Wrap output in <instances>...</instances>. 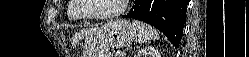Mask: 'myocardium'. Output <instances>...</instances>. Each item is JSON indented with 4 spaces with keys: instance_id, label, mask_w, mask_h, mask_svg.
I'll list each match as a JSON object with an SVG mask.
<instances>
[{
    "instance_id": "obj_1",
    "label": "myocardium",
    "mask_w": 249,
    "mask_h": 57,
    "mask_svg": "<svg viewBox=\"0 0 249 57\" xmlns=\"http://www.w3.org/2000/svg\"><path fill=\"white\" fill-rule=\"evenodd\" d=\"M75 11L77 15L83 19L89 20H109L120 16L127 8L128 0H122V4L116 11L105 14H87L84 9L86 7L85 0H75Z\"/></svg>"
}]
</instances>
